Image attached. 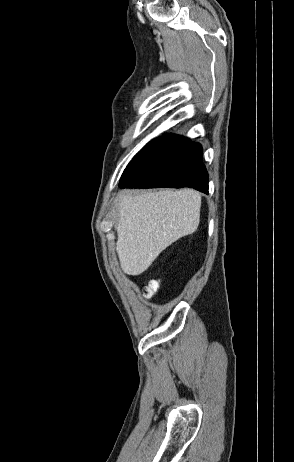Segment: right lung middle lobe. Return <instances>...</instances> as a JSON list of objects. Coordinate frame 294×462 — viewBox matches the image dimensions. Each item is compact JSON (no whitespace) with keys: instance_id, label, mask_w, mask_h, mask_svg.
I'll return each mask as SVG.
<instances>
[{"instance_id":"dd1d6c3e","label":"right lung middle lobe","mask_w":294,"mask_h":462,"mask_svg":"<svg viewBox=\"0 0 294 462\" xmlns=\"http://www.w3.org/2000/svg\"><path fill=\"white\" fill-rule=\"evenodd\" d=\"M158 140H159V139H157V140H152L151 142H149L138 154H140L142 151H144L145 149H147L150 145H152L153 143H155V142L158 141ZM138 154H137V155H138ZM137 155H136V156H137ZM136 156L133 158V160L136 158ZM133 160H132V161H133ZM132 161H131V162H132ZM131 162H130V163H131Z\"/></svg>"}]
</instances>
